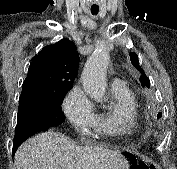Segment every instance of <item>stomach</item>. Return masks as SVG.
I'll list each match as a JSON object with an SVG mask.
<instances>
[{
    "instance_id": "obj_1",
    "label": "stomach",
    "mask_w": 177,
    "mask_h": 169,
    "mask_svg": "<svg viewBox=\"0 0 177 169\" xmlns=\"http://www.w3.org/2000/svg\"><path fill=\"white\" fill-rule=\"evenodd\" d=\"M126 159L129 162V167L127 169H145V165L140 162L135 155L133 154H124Z\"/></svg>"
}]
</instances>
